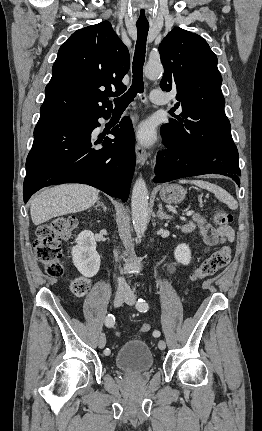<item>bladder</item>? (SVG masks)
Listing matches in <instances>:
<instances>
[{
	"label": "bladder",
	"instance_id": "obj_1",
	"mask_svg": "<svg viewBox=\"0 0 262 431\" xmlns=\"http://www.w3.org/2000/svg\"><path fill=\"white\" fill-rule=\"evenodd\" d=\"M116 365L130 374H141L150 370L154 363L153 354L143 339L125 342L115 355Z\"/></svg>",
	"mask_w": 262,
	"mask_h": 431
}]
</instances>
